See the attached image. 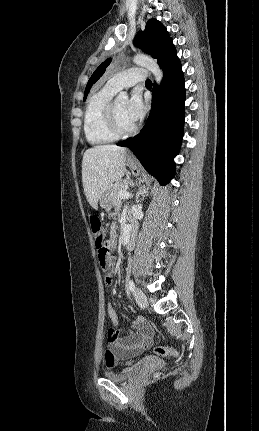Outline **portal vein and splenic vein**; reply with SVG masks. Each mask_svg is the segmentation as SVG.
I'll use <instances>...</instances> for the list:
<instances>
[{
  "mask_svg": "<svg viewBox=\"0 0 259 431\" xmlns=\"http://www.w3.org/2000/svg\"><path fill=\"white\" fill-rule=\"evenodd\" d=\"M119 197L121 199L132 197V194L127 192L126 190L119 192Z\"/></svg>",
  "mask_w": 259,
  "mask_h": 431,
  "instance_id": "obj_1",
  "label": "portal vein and splenic vein"
}]
</instances>
